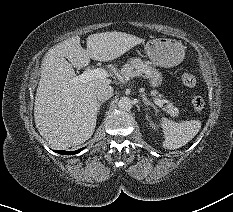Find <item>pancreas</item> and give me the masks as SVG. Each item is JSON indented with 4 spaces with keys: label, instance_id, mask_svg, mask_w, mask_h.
I'll return each instance as SVG.
<instances>
[{
    "label": "pancreas",
    "instance_id": "cf45deb5",
    "mask_svg": "<svg viewBox=\"0 0 233 212\" xmlns=\"http://www.w3.org/2000/svg\"><path fill=\"white\" fill-rule=\"evenodd\" d=\"M153 68L148 62H144L139 58L131 59L126 65L121 68V75L123 78H133L136 76L149 75L152 72ZM157 94L156 91H154ZM161 98V95H159ZM167 105L163 108L169 115L172 117H177L179 114L178 108L174 107L173 104L169 101L162 100Z\"/></svg>",
    "mask_w": 233,
    "mask_h": 212
}]
</instances>
